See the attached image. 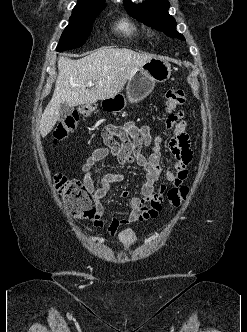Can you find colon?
Returning a JSON list of instances; mask_svg holds the SVG:
<instances>
[{"mask_svg": "<svg viewBox=\"0 0 247 332\" xmlns=\"http://www.w3.org/2000/svg\"><path fill=\"white\" fill-rule=\"evenodd\" d=\"M186 101L185 92L182 89L170 88L165 92V105L168 112H173ZM93 112L90 105L82 106L78 111L66 116L53 131L55 143L67 139L79 126L81 116H89ZM176 114H170L167 118L169 125ZM55 186L66 203L69 211L77 218H95L96 205L82 182L61 174L55 176ZM188 188H171L167 192V202L171 207L178 206L187 196Z\"/></svg>", "mask_w": 247, "mask_h": 332, "instance_id": "5ec220e1", "label": "colon"}]
</instances>
